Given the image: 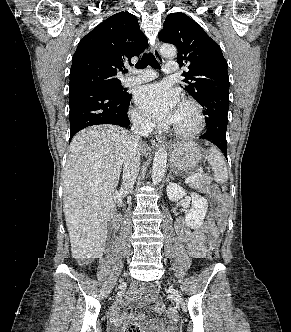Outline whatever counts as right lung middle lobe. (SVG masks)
I'll list each match as a JSON object with an SVG mask.
<instances>
[{"label": "right lung middle lobe", "mask_w": 291, "mask_h": 332, "mask_svg": "<svg viewBox=\"0 0 291 332\" xmlns=\"http://www.w3.org/2000/svg\"><path fill=\"white\" fill-rule=\"evenodd\" d=\"M92 85H101L107 87L116 97L123 98L127 93L121 87L120 82L97 81Z\"/></svg>", "instance_id": "right-lung-middle-lobe-1"}]
</instances>
